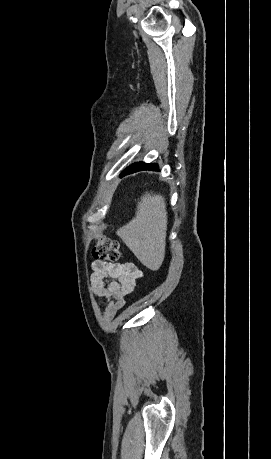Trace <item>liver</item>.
Masks as SVG:
<instances>
[{
    "label": "liver",
    "mask_w": 271,
    "mask_h": 459,
    "mask_svg": "<svg viewBox=\"0 0 271 459\" xmlns=\"http://www.w3.org/2000/svg\"><path fill=\"white\" fill-rule=\"evenodd\" d=\"M166 204L162 196L145 192L137 204L135 218L117 229V235L149 269H159L165 257Z\"/></svg>",
    "instance_id": "6515ba94"
}]
</instances>
